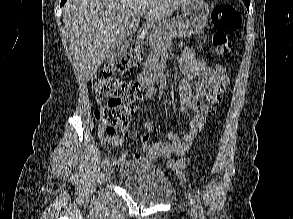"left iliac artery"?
Here are the masks:
<instances>
[{
    "mask_svg": "<svg viewBox=\"0 0 293 219\" xmlns=\"http://www.w3.org/2000/svg\"><path fill=\"white\" fill-rule=\"evenodd\" d=\"M193 198H194V201L197 202V208L199 211V219H205L203 208H202L201 201H200V197L195 193L193 195Z\"/></svg>",
    "mask_w": 293,
    "mask_h": 219,
    "instance_id": "left-iliac-artery-1",
    "label": "left iliac artery"
}]
</instances>
